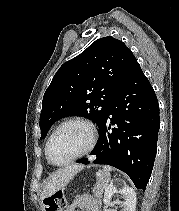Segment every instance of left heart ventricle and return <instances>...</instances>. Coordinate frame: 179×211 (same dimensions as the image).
Returning <instances> with one entry per match:
<instances>
[{
	"label": "left heart ventricle",
	"instance_id": "left-heart-ventricle-1",
	"mask_svg": "<svg viewBox=\"0 0 179 211\" xmlns=\"http://www.w3.org/2000/svg\"><path fill=\"white\" fill-rule=\"evenodd\" d=\"M89 134L81 124L62 127L51 141L49 153L55 163H63L82 151L88 143Z\"/></svg>",
	"mask_w": 179,
	"mask_h": 211
}]
</instances>
